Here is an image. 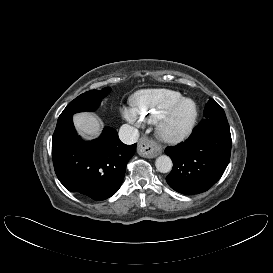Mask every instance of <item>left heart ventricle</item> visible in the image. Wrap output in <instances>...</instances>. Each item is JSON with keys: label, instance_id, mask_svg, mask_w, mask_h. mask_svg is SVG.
<instances>
[{"label": "left heart ventricle", "instance_id": "obj_1", "mask_svg": "<svg viewBox=\"0 0 273 273\" xmlns=\"http://www.w3.org/2000/svg\"><path fill=\"white\" fill-rule=\"evenodd\" d=\"M192 112V106L190 104L184 106L175 116L172 126L177 129L182 127Z\"/></svg>", "mask_w": 273, "mask_h": 273}]
</instances>
